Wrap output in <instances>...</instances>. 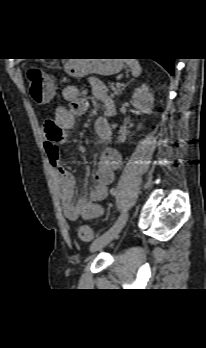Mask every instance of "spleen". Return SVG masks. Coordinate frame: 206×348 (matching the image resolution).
Masks as SVG:
<instances>
[{
    "label": "spleen",
    "instance_id": "spleen-1",
    "mask_svg": "<svg viewBox=\"0 0 206 348\" xmlns=\"http://www.w3.org/2000/svg\"><path fill=\"white\" fill-rule=\"evenodd\" d=\"M125 61L129 65L132 75L138 77L142 72L139 62L136 59H126Z\"/></svg>",
    "mask_w": 206,
    "mask_h": 348
}]
</instances>
